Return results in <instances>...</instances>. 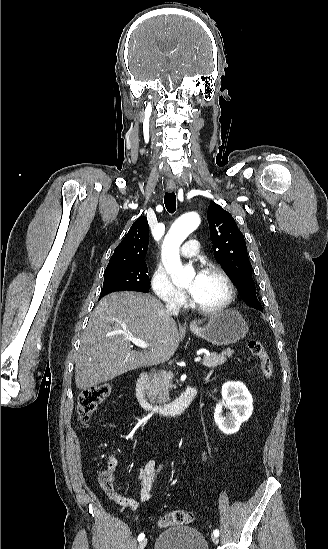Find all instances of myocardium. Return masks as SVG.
Listing matches in <instances>:
<instances>
[{
    "mask_svg": "<svg viewBox=\"0 0 328 549\" xmlns=\"http://www.w3.org/2000/svg\"><path fill=\"white\" fill-rule=\"evenodd\" d=\"M195 265L200 267H205V269L201 270V273H207V272L217 273L224 280L226 284L227 292H226L225 298L220 303H218L213 307H204L200 303L196 302L193 298L190 299L191 307L195 309L197 312H199L200 314L207 315V316L217 315L225 312L232 304L236 294L235 284L231 276L228 274V272L225 270V267L222 264L215 261H211V260L189 262V263H186L184 267L187 268Z\"/></svg>",
    "mask_w": 328,
    "mask_h": 549,
    "instance_id": "1",
    "label": "myocardium"
}]
</instances>
